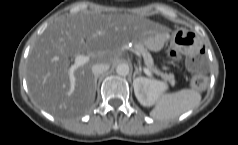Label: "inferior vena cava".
<instances>
[{
    "mask_svg": "<svg viewBox=\"0 0 238 145\" xmlns=\"http://www.w3.org/2000/svg\"><path fill=\"white\" fill-rule=\"evenodd\" d=\"M110 68L109 64L106 63H99V64H95L92 66V72L94 74V76H99L102 73L108 71Z\"/></svg>",
    "mask_w": 238,
    "mask_h": 145,
    "instance_id": "obj_1",
    "label": "inferior vena cava"
}]
</instances>
